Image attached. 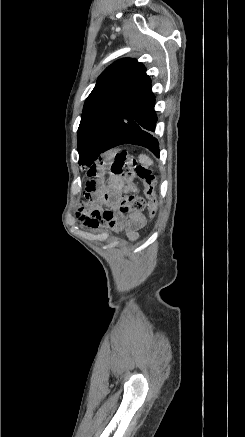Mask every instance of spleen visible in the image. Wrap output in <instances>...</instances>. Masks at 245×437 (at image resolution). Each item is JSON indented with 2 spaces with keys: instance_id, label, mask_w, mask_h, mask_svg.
<instances>
[{
  "instance_id": "obj_1",
  "label": "spleen",
  "mask_w": 245,
  "mask_h": 437,
  "mask_svg": "<svg viewBox=\"0 0 245 437\" xmlns=\"http://www.w3.org/2000/svg\"><path fill=\"white\" fill-rule=\"evenodd\" d=\"M140 160H141L142 162L148 164V165H151V164H152V160H151L149 157L145 156V155H141V156H140Z\"/></svg>"
}]
</instances>
